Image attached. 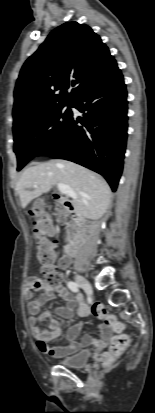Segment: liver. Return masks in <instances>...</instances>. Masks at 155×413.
<instances>
[{"label": "liver", "mask_w": 155, "mask_h": 413, "mask_svg": "<svg viewBox=\"0 0 155 413\" xmlns=\"http://www.w3.org/2000/svg\"><path fill=\"white\" fill-rule=\"evenodd\" d=\"M57 183L70 186L76 193L73 205L84 218L97 220L110 206L111 189L100 176L71 161L50 160L22 173L15 187L21 207L48 193Z\"/></svg>", "instance_id": "1"}]
</instances>
